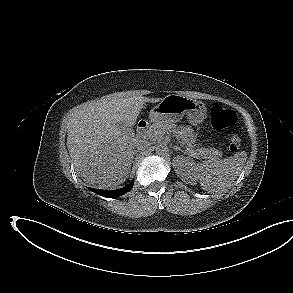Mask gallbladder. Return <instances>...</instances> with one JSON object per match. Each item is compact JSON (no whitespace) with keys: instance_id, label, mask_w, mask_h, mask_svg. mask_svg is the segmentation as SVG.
<instances>
[{"instance_id":"bac80fb5","label":"gallbladder","mask_w":293,"mask_h":293,"mask_svg":"<svg viewBox=\"0 0 293 293\" xmlns=\"http://www.w3.org/2000/svg\"><path fill=\"white\" fill-rule=\"evenodd\" d=\"M116 126H117V128H118L119 130H121L123 133H125V134H127V135H129V136L134 135V131H133V129L130 128V127H127L124 123H122V122L117 123Z\"/></svg>"}]
</instances>
